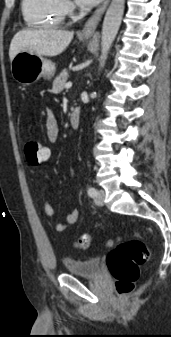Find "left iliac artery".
<instances>
[{
	"instance_id": "left-iliac-artery-1",
	"label": "left iliac artery",
	"mask_w": 171,
	"mask_h": 337,
	"mask_svg": "<svg viewBox=\"0 0 171 337\" xmlns=\"http://www.w3.org/2000/svg\"><path fill=\"white\" fill-rule=\"evenodd\" d=\"M87 193L90 197H95L97 195V190L94 187H89Z\"/></svg>"
}]
</instances>
